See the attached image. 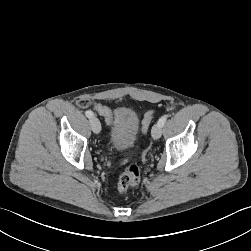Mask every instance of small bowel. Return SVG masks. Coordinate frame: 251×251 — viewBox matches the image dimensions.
Returning a JSON list of instances; mask_svg holds the SVG:
<instances>
[{
    "label": "small bowel",
    "mask_w": 251,
    "mask_h": 251,
    "mask_svg": "<svg viewBox=\"0 0 251 251\" xmlns=\"http://www.w3.org/2000/svg\"><path fill=\"white\" fill-rule=\"evenodd\" d=\"M77 109H89L92 106V101L89 98H81L74 103Z\"/></svg>",
    "instance_id": "obj_1"
}]
</instances>
